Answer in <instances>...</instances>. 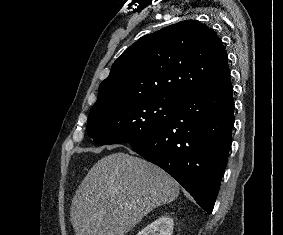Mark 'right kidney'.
Returning a JSON list of instances; mask_svg holds the SVG:
<instances>
[{
    "instance_id": "right-kidney-1",
    "label": "right kidney",
    "mask_w": 283,
    "mask_h": 235,
    "mask_svg": "<svg viewBox=\"0 0 283 235\" xmlns=\"http://www.w3.org/2000/svg\"><path fill=\"white\" fill-rule=\"evenodd\" d=\"M174 221L168 216H161L137 235H171L173 231Z\"/></svg>"
}]
</instances>
